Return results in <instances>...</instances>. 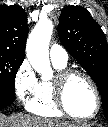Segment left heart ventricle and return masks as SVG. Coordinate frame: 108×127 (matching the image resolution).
I'll return each instance as SVG.
<instances>
[{
    "mask_svg": "<svg viewBox=\"0 0 108 127\" xmlns=\"http://www.w3.org/2000/svg\"><path fill=\"white\" fill-rule=\"evenodd\" d=\"M66 104L78 116L91 115L96 106V98L90 85L80 76L73 77L66 88Z\"/></svg>",
    "mask_w": 108,
    "mask_h": 127,
    "instance_id": "left-heart-ventricle-1",
    "label": "left heart ventricle"
}]
</instances>
